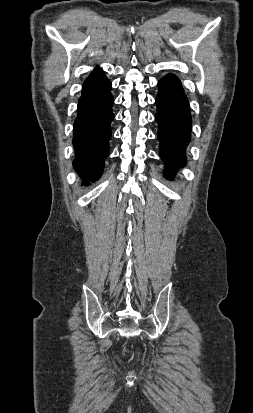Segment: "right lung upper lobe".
I'll use <instances>...</instances> for the list:
<instances>
[{
  "label": "right lung upper lobe",
  "instance_id": "obj_1",
  "mask_svg": "<svg viewBox=\"0 0 253 413\" xmlns=\"http://www.w3.org/2000/svg\"><path fill=\"white\" fill-rule=\"evenodd\" d=\"M100 70H101V69L97 67V68L93 71V73L87 78V80H86L85 82L89 81V80H90L96 73H98Z\"/></svg>",
  "mask_w": 253,
  "mask_h": 413
}]
</instances>
